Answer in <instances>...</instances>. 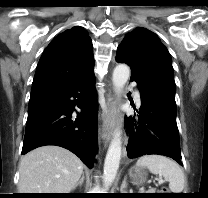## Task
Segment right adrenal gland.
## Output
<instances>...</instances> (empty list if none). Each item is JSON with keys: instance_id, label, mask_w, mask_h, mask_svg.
Returning <instances> with one entry per match:
<instances>
[{"instance_id": "right-adrenal-gland-1", "label": "right adrenal gland", "mask_w": 208, "mask_h": 198, "mask_svg": "<svg viewBox=\"0 0 208 198\" xmlns=\"http://www.w3.org/2000/svg\"><path fill=\"white\" fill-rule=\"evenodd\" d=\"M84 178H85V176H84V172H83L80 180L76 183V185L74 186L73 189H76L78 186H81L84 182Z\"/></svg>"}]
</instances>
